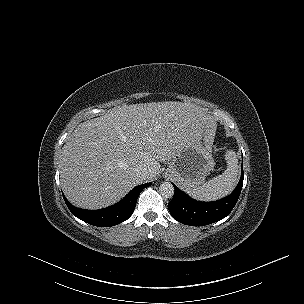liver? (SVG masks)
<instances>
[{
  "label": "liver",
  "mask_w": 304,
  "mask_h": 304,
  "mask_svg": "<svg viewBox=\"0 0 304 304\" xmlns=\"http://www.w3.org/2000/svg\"><path fill=\"white\" fill-rule=\"evenodd\" d=\"M212 143L211 116L194 104L151 102L123 105L80 123L62 148V190L75 206L96 210L141 184L137 168L154 180L160 162L172 160L194 136Z\"/></svg>",
  "instance_id": "obj_1"
}]
</instances>
